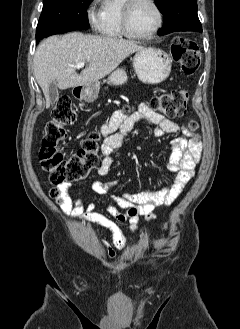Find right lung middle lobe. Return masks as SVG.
Listing matches in <instances>:
<instances>
[{
	"instance_id": "obj_1",
	"label": "right lung middle lobe",
	"mask_w": 240,
	"mask_h": 329,
	"mask_svg": "<svg viewBox=\"0 0 240 329\" xmlns=\"http://www.w3.org/2000/svg\"><path fill=\"white\" fill-rule=\"evenodd\" d=\"M93 0H43L36 42L53 34L88 28L87 7Z\"/></svg>"
}]
</instances>
